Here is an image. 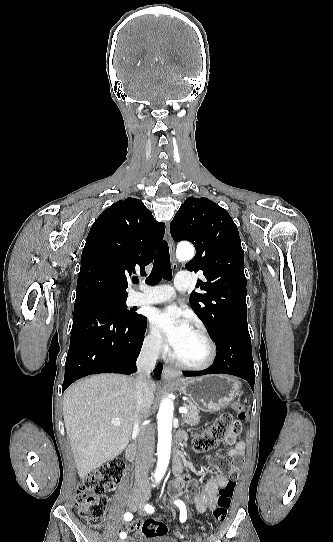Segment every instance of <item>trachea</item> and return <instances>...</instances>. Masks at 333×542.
Here are the masks:
<instances>
[{"instance_id": "obj_1", "label": "trachea", "mask_w": 333, "mask_h": 542, "mask_svg": "<svg viewBox=\"0 0 333 542\" xmlns=\"http://www.w3.org/2000/svg\"><path fill=\"white\" fill-rule=\"evenodd\" d=\"M162 278L170 280L172 278V271L170 266L169 247L166 241H163L156 253L152 272L146 279V284L154 285ZM134 283H138V279L134 280Z\"/></svg>"}]
</instances>
